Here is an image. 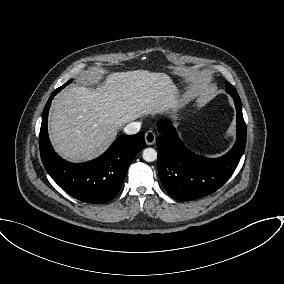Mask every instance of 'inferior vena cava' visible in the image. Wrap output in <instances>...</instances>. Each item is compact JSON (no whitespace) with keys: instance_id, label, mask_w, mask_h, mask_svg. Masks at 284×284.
Here are the masks:
<instances>
[{"instance_id":"602c4592","label":"inferior vena cava","mask_w":284,"mask_h":284,"mask_svg":"<svg viewBox=\"0 0 284 284\" xmlns=\"http://www.w3.org/2000/svg\"><path fill=\"white\" fill-rule=\"evenodd\" d=\"M141 127L140 122H131L124 128V132L128 135H133L139 132Z\"/></svg>"}]
</instances>
